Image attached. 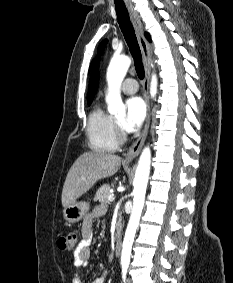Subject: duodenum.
Wrapping results in <instances>:
<instances>
[{
	"instance_id": "obj_1",
	"label": "duodenum",
	"mask_w": 233,
	"mask_h": 283,
	"mask_svg": "<svg viewBox=\"0 0 233 283\" xmlns=\"http://www.w3.org/2000/svg\"><path fill=\"white\" fill-rule=\"evenodd\" d=\"M121 248H122V242L119 237H117L115 241V254L116 256H120L121 254Z\"/></svg>"
}]
</instances>
